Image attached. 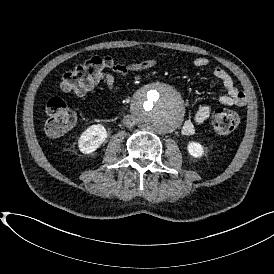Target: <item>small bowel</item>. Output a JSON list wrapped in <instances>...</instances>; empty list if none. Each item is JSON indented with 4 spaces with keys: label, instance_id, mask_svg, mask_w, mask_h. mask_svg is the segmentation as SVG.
<instances>
[{
    "label": "small bowel",
    "instance_id": "small-bowel-1",
    "mask_svg": "<svg viewBox=\"0 0 274 274\" xmlns=\"http://www.w3.org/2000/svg\"><path fill=\"white\" fill-rule=\"evenodd\" d=\"M209 60L205 57H197L193 60V66L196 68H206L209 66ZM157 60L154 58L143 60L140 62L130 63L126 65H118L115 69L106 71L95 78L92 82L75 88L74 93L77 96L87 94L94 88H98L105 84L106 88L111 92L118 91L123 85L129 74L146 70L156 66ZM212 74L217 78L225 88L226 93L219 97V103L224 106H243L247 102L246 93L239 89L230 74L221 67H215ZM212 107L210 105L200 106L192 119H187L182 126V133L190 136L195 133L196 126L203 124L211 115Z\"/></svg>",
    "mask_w": 274,
    "mask_h": 274
}]
</instances>
